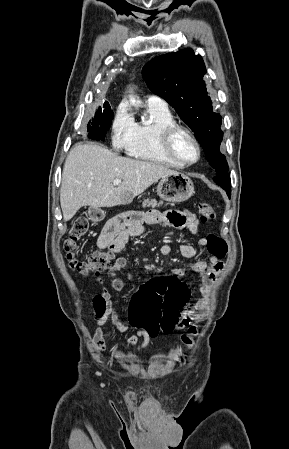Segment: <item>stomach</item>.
Returning <instances> with one entry per match:
<instances>
[{
  "label": "stomach",
  "mask_w": 289,
  "mask_h": 449,
  "mask_svg": "<svg viewBox=\"0 0 289 449\" xmlns=\"http://www.w3.org/2000/svg\"><path fill=\"white\" fill-rule=\"evenodd\" d=\"M194 193L192 180L183 173L165 176L157 185V194L167 202H184Z\"/></svg>",
  "instance_id": "obj_1"
}]
</instances>
